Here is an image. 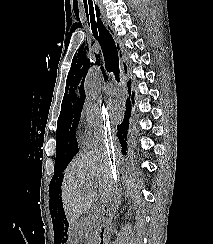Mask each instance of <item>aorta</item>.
I'll use <instances>...</instances> for the list:
<instances>
[{
	"label": "aorta",
	"mask_w": 213,
	"mask_h": 244,
	"mask_svg": "<svg viewBox=\"0 0 213 244\" xmlns=\"http://www.w3.org/2000/svg\"><path fill=\"white\" fill-rule=\"evenodd\" d=\"M101 79V71L98 67H94L89 70L86 79L84 90L86 94V99L88 101H95L98 97V85Z\"/></svg>",
	"instance_id": "aorta-1"
}]
</instances>
